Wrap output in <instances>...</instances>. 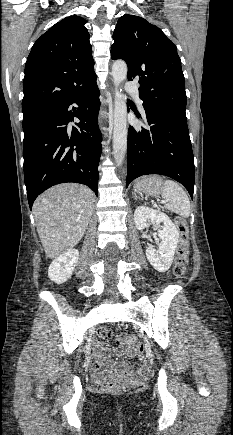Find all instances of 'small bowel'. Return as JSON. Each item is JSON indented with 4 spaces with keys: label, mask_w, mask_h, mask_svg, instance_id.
<instances>
[{
    "label": "small bowel",
    "mask_w": 233,
    "mask_h": 435,
    "mask_svg": "<svg viewBox=\"0 0 233 435\" xmlns=\"http://www.w3.org/2000/svg\"><path fill=\"white\" fill-rule=\"evenodd\" d=\"M116 353L118 355H127L129 357H139V353L138 350L128 344H124L119 346L116 349ZM98 357H106L108 355V351L105 348H101L100 351H98L97 353ZM90 370L92 373V376L95 379H99L101 377H103L105 371L103 370V368L101 367V365L98 362H93L90 366ZM138 370L140 373H145L147 371V366L144 363H141L138 366Z\"/></svg>",
    "instance_id": "1"
}]
</instances>
